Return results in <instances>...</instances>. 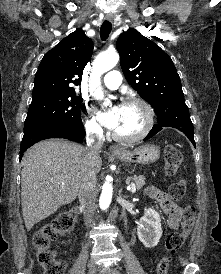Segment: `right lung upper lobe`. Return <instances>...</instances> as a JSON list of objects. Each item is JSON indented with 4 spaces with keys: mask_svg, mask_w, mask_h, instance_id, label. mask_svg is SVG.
<instances>
[{
    "mask_svg": "<svg viewBox=\"0 0 221 274\" xmlns=\"http://www.w3.org/2000/svg\"><path fill=\"white\" fill-rule=\"evenodd\" d=\"M93 42L82 29L69 34L48 51L35 74L32 99L75 93L90 61Z\"/></svg>",
    "mask_w": 221,
    "mask_h": 274,
    "instance_id": "cb5924a9",
    "label": "right lung upper lobe"
}]
</instances>
